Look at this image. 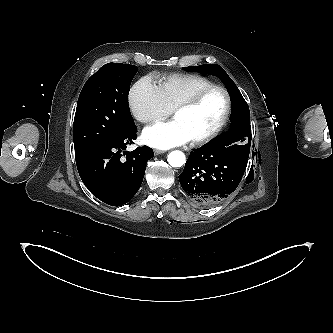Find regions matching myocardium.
Here are the masks:
<instances>
[{
    "label": "myocardium",
    "mask_w": 333,
    "mask_h": 333,
    "mask_svg": "<svg viewBox=\"0 0 333 333\" xmlns=\"http://www.w3.org/2000/svg\"><path fill=\"white\" fill-rule=\"evenodd\" d=\"M214 91L221 92L225 97L226 107H225L224 114H223L220 122L218 123V125L211 132H209L208 134H206L198 139L191 141L193 146H196V147L203 146V145L211 142L212 140H214L223 131V129L225 128V126L227 125V123L229 121L231 111H232V100H231V96H230L229 92L227 91V89H225L222 86L211 85V86H208V87H205V88L199 90L194 95H192L185 101L181 102L173 109V116H175L178 112L194 108L208 94H210L211 92H214Z\"/></svg>",
    "instance_id": "obj_1"
}]
</instances>
